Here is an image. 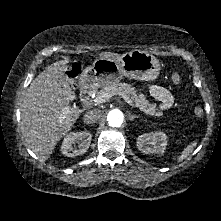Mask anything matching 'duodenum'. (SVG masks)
I'll use <instances>...</instances> for the list:
<instances>
[{
  "label": "duodenum",
  "mask_w": 221,
  "mask_h": 221,
  "mask_svg": "<svg viewBox=\"0 0 221 221\" xmlns=\"http://www.w3.org/2000/svg\"><path fill=\"white\" fill-rule=\"evenodd\" d=\"M93 94H94V89L91 86L85 84L81 88L80 99L82 102L88 103L92 99Z\"/></svg>",
  "instance_id": "obj_1"
}]
</instances>
